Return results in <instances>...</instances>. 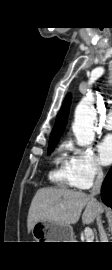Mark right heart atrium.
<instances>
[{
    "label": "right heart atrium",
    "instance_id": "obj_1",
    "mask_svg": "<svg viewBox=\"0 0 112 270\" xmlns=\"http://www.w3.org/2000/svg\"><path fill=\"white\" fill-rule=\"evenodd\" d=\"M65 148L70 153L68 167L73 187L87 189L103 177V167L91 148H80L72 142H67Z\"/></svg>",
    "mask_w": 112,
    "mask_h": 270
}]
</instances>
